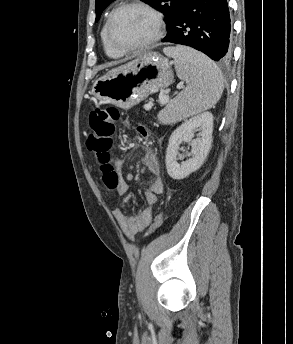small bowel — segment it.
Wrapping results in <instances>:
<instances>
[{"label":"small bowel","instance_id":"obj_1","mask_svg":"<svg viewBox=\"0 0 293 344\" xmlns=\"http://www.w3.org/2000/svg\"><path fill=\"white\" fill-rule=\"evenodd\" d=\"M141 164L153 175L149 189L144 192V198L148 207L135 216H128L120 208L114 210L113 215L121 230L129 239L144 230L150 223L153 205L156 204L158 196L163 191V182L160 177V166L158 159L150 148H144L138 152ZM123 164L104 165L101 167L104 183L114 184L119 195H126L129 192L128 180L122 172Z\"/></svg>","mask_w":293,"mask_h":344}]
</instances>
